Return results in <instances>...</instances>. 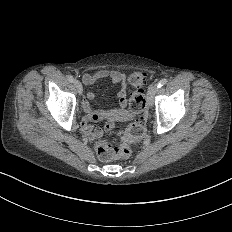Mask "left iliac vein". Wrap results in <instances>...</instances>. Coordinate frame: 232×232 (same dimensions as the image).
Masks as SVG:
<instances>
[{"mask_svg":"<svg viewBox=\"0 0 232 232\" xmlns=\"http://www.w3.org/2000/svg\"><path fill=\"white\" fill-rule=\"evenodd\" d=\"M156 90H157V87H155L154 86V88L153 89H150L149 91H148V96H147V106L149 107V108H152V105L154 104V97H155V93H156Z\"/></svg>","mask_w":232,"mask_h":232,"instance_id":"left-iliac-vein-1","label":"left iliac vein"}]
</instances>
